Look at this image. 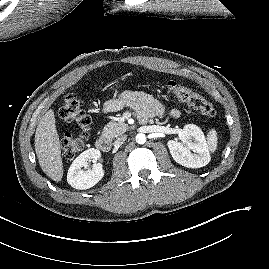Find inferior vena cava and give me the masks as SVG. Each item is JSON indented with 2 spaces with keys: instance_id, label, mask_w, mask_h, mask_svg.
<instances>
[{
  "instance_id": "602c4592",
  "label": "inferior vena cava",
  "mask_w": 269,
  "mask_h": 269,
  "mask_svg": "<svg viewBox=\"0 0 269 269\" xmlns=\"http://www.w3.org/2000/svg\"><path fill=\"white\" fill-rule=\"evenodd\" d=\"M125 140H126V136L125 135L117 138L115 140V142L113 143L114 144V147H116V148L120 147L124 143Z\"/></svg>"
}]
</instances>
